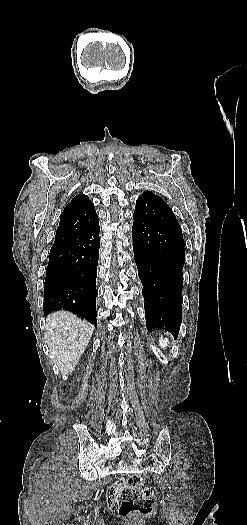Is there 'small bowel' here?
Segmentation results:
<instances>
[{"instance_id": "c3829d8e", "label": "small bowel", "mask_w": 247, "mask_h": 525, "mask_svg": "<svg viewBox=\"0 0 247 525\" xmlns=\"http://www.w3.org/2000/svg\"><path fill=\"white\" fill-rule=\"evenodd\" d=\"M122 486V483L120 480L115 479L111 482L110 487L106 491V497L105 500L108 503L109 507L108 510L110 513L115 514L119 510V502L117 500V496L119 494V490Z\"/></svg>"}]
</instances>
